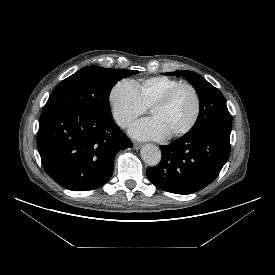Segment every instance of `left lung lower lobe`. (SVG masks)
Listing matches in <instances>:
<instances>
[{"mask_svg":"<svg viewBox=\"0 0 275 275\" xmlns=\"http://www.w3.org/2000/svg\"><path fill=\"white\" fill-rule=\"evenodd\" d=\"M229 130L186 133L167 146L161 145L162 159L146 170L158 188L176 194H191L218 176L230 153Z\"/></svg>","mask_w":275,"mask_h":275,"instance_id":"left-lung-lower-lobe-1","label":"left lung lower lobe"}]
</instances>
